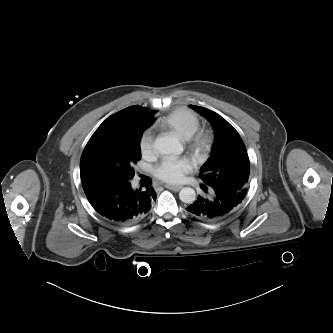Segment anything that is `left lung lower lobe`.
I'll return each instance as SVG.
<instances>
[{
	"mask_svg": "<svg viewBox=\"0 0 333 333\" xmlns=\"http://www.w3.org/2000/svg\"><path fill=\"white\" fill-rule=\"evenodd\" d=\"M205 185H202V188L207 190L208 185ZM209 188L211 196H198L197 200L186 208L193 216L201 220L218 221L232 213L243 200L229 187L213 185Z\"/></svg>",
	"mask_w": 333,
	"mask_h": 333,
	"instance_id": "obj_1",
	"label": "left lung lower lobe"
}]
</instances>
